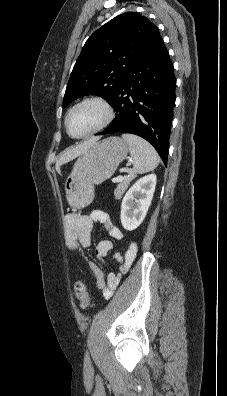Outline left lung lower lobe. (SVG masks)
I'll use <instances>...</instances> for the list:
<instances>
[{
    "label": "left lung lower lobe",
    "mask_w": 227,
    "mask_h": 396,
    "mask_svg": "<svg viewBox=\"0 0 227 396\" xmlns=\"http://www.w3.org/2000/svg\"><path fill=\"white\" fill-rule=\"evenodd\" d=\"M176 79L162 38L128 72L110 104L115 119L97 135L131 133L147 140L167 165Z\"/></svg>",
    "instance_id": "0a47b994"
}]
</instances>
